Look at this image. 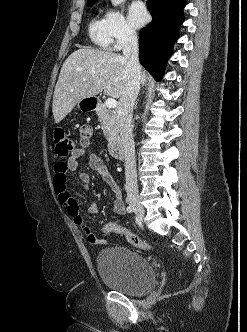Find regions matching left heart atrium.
<instances>
[{"mask_svg": "<svg viewBox=\"0 0 247 332\" xmlns=\"http://www.w3.org/2000/svg\"><path fill=\"white\" fill-rule=\"evenodd\" d=\"M129 19L136 27L143 26L148 20V13L141 2H134L129 8Z\"/></svg>", "mask_w": 247, "mask_h": 332, "instance_id": "left-heart-atrium-1", "label": "left heart atrium"}]
</instances>
